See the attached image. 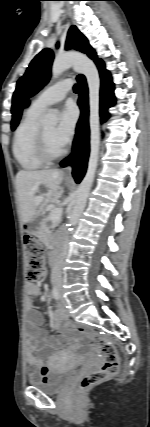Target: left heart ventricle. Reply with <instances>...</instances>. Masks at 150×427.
<instances>
[{"label":"left heart ventricle","instance_id":"left-heart-ventricle-1","mask_svg":"<svg viewBox=\"0 0 150 427\" xmlns=\"http://www.w3.org/2000/svg\"><path fill=\"white\" fill-rule=\"evenodd\" d=\"M42 128H43V131H44V134L46 137V141H47V144H48L50 151L52 153H57L61 149H63L61 146L58 145V143L55 140L56 126L55 125H49V126H44Z\"/></svg>","mask_w":150,"mask_h":427}]
</instances>
